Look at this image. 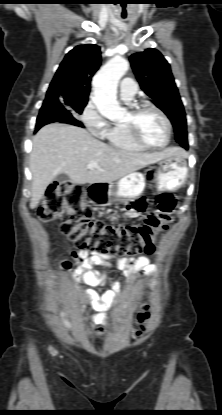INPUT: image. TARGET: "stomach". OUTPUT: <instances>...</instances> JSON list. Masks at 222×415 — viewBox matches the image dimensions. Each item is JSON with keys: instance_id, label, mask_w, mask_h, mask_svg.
Segmentation results:
<instances>
[{"instance_id": "obj_1", "label": "stomach", "mask_w": 222, "mask_h": 415, "mask_svg": "<svg viewBox=\"0 0 222 415\" xmlns=\"http://www.w3.org/2000/svg\"><path fill=\"white\" fill-rule=\"evenodd\" d=\"M156 172L161 187L169 190L180 188L188 175L184 155H173L159 161ZM145 185V176L133 172L122 177L115 185L108 183L91 185L89 195L95 204L106 206L112 200L125 202L138 197L144 191Z\"/></svg>"}]
</instances>
